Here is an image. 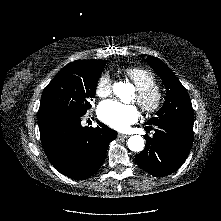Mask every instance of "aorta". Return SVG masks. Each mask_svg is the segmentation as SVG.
<instances>
[{"label": "aorta", "mask_w": 221, "mask_h": 221, "mask_svg": "<svg viewBox=\"0 0 221 221\" xmlns=\"http://www.w3.org/2000/svg\"><path fill=\"white\" fill-rule=\"evenodd\" d=\"M113 91L117 97L124 99L134 93L133 85L125 82H117L113 86ZM128 148L134 152H140L144 149L145 140L140 135L131 136L127 141Z\"/></svg>", "instance_id": "762f6f07"}]
</instances>
